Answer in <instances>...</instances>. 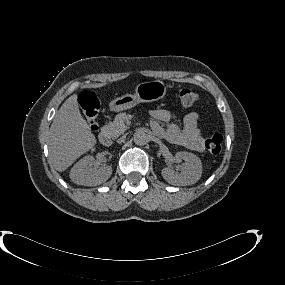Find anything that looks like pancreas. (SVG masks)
<instances>
[{"label":"pancreas","instance_id":"cf45deb5","mask_svg":"<svg viewBox=\"0 0 285 285\" xmlns=\"http://www.w3.org/2000/svg\"><path fill=\"white\" fill-rule=\"evenodd\" d=\"M127 119L126 113H119L115 116V119L113 122H109L104 127V130L112 137L117 138L119 135L125 132V130L128 128L125 125V120Z\"/></svg>","mask_w":285,"mask_h":285}]
</instances>
